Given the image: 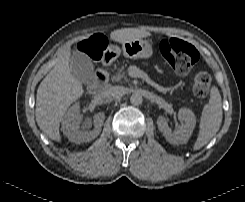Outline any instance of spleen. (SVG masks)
Listing matches in <instances>:
<instances>
[{
	"mask_svg": "<svg viewBox=\"0 0 245 202\" xmlns=\"http://www.w3.org/2000/svg\"><path fill=\"white\" fill-rule=\"evenodd\" d=\"M222 103L218 88L212 87L208 104L200 118L199 134L193 149L199 150L218 132L222 122Z\"/></svg>",
	"mask_w": 245,
	"mask_h": 202,
	"instance_id": "1",
	"label": "spleen"
}]
</instances>
